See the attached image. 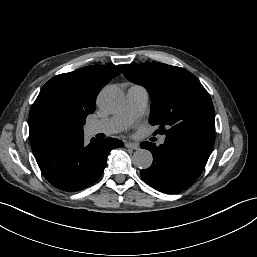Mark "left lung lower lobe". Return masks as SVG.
Listing matches in <instances>:
<instances>
[{
	"label": "left lung lower lobe",
	"instance_id": "1",
	"mask_svg": "<svg viewBox=\"0 0 257 257\" xmlns=\"http://www.w3.org/2000/svg\"><path fill=\"white\" fill-rule=\"evenodd\" d=\"M214 146V132H185L166 137L165 143L142 142L151 151L153 164L140 171L142 179L154 189L176 194L190 187L201 175Z\"/></svg>",
	"mask_w": 257,
	"mask_h": 257
}]
</instances>
